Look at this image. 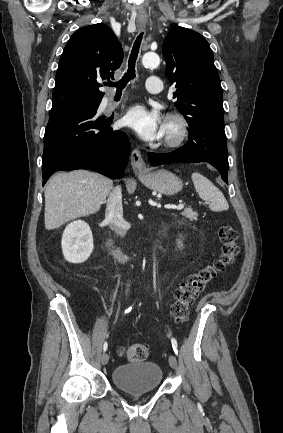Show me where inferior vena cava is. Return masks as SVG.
Listing matches in <instances>:
<instances>
[{"mask_svg":"<svg viewBox=\"0 0 283 433\" xmlns=\"http://www.w3.org/2000/svg\"><path fill=\"white\" fill-rule=\"evenodd\" d=\"M106 219H108L110 225H114L117 235L125 237L127 229H123L124 219L121 186H115L108 196ZM127 287H129V285H127Z\"/></svg>","mask_w":283,"mask_h":433,"instance_id":"inferior-vena-cava-1","label":"inferior vena cava"}]
</instances>
